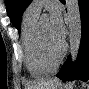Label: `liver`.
Listing matches in <instances>:
<instances>
[{
    "instance_id": "6515ba94",
    "label": "liver",
    "mask_w": 89,
    "mask_h": 89,
    "mask_svg": "<svg viewBox=\"0 0 89 89\" xmlns=\"http://www.w3.org/2000/svg\"><path fill=\"white\" fill-rule=\"evenodd\" d=\"M58 84L59 82L57 79L36 80L29 83L26 89H51Z\"/></svg>"
}]
</instances>
